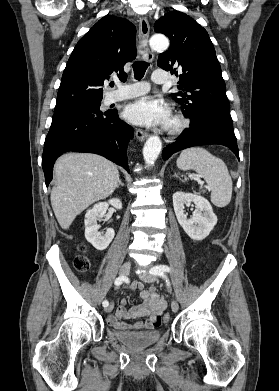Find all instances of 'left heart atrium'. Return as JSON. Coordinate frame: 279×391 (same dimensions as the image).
<instances>
[{"label":"left heart atrium","mask_w":279,"mask_h":391,"mask_svg":"<svg viewBox=\"0 0 279 391\" xmlns=\"http://www.w3.org/2000/svg\"><path fill=\"white\" fill-rule=\"evenodd\" d=\"M125 115L129 121L149 127L167 126L171 120L168 106L150 97H142L129 104Z\"/></svg>","instance_id":"39dd6f15"}]
</instances>
